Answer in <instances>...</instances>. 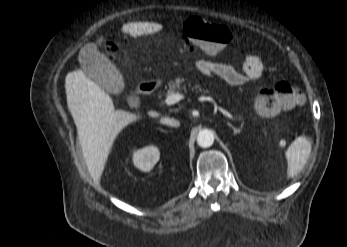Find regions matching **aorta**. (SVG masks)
Masks as SVG:
<instances>
[{
  "label": "aorta",
  "instance_id": "1",
  "mask_svg": "<svg viewBox=\"0 0 347 247\" xmlns=\"http://www.w3.org/2000/svg\"><path fill=\"white\" fill-rule=\"evenodd\" d=\"M214 142V134L211 130L204 129L199 132L197 136V143L202 148H208L212 146Z\"/></svg>",
  "mask_w": 347,
  "mask_h": 247
}]
</instances>
